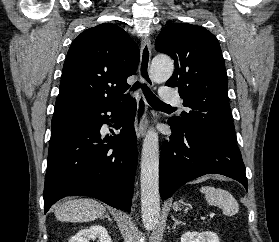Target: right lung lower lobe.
I'll list each match as a JSON object with an SVG mask.
<instances>
[{"instance_id": "1", "label": "right lung lower lobe", "mask_w": 279, "mask_h": 242, "mask_svg": "<svg viewBox=\"0 0 279 242\" xmlns=\"http://www.w3.org/2000/svg\"><path fill=\"white\" fill-rule=\"evenodd\" d=\"M111 112L119 135L102 138ZM136 102L78 113L73 122L51 132L44 187L45 213L73 195L99 199L117 209H131L137 165L134 117Z\"/></svg>"}]
</instances>
